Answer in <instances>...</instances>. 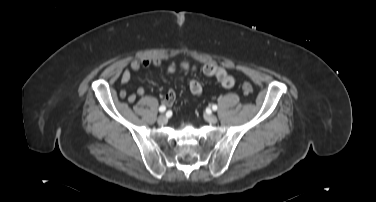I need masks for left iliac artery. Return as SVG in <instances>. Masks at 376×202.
<instances>
[{
    "mask_svg": "<svg viewBox=\"0 0 376 202\" xmlns=\"http://www.w3.org/2000/svg\"><path fill=\"white\" fill-rule=\"evenodd\" d=\"M217 108H218L217 105H213V106H212V109H213L214 111H216Z\"/></svg>",
    "mask_w": 376,
    "mask_h": 202,
    "instance_id": "1",
    "label": "left iliac artery"
}]
</instances>
